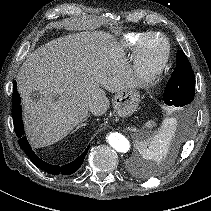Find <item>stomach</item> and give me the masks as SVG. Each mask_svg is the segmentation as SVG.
<instances>
[{
    "instance_id": "obj_1",
    "label": "stomach",
    "mask_w": 211,
    "mask_h": 211,
    "mask_svg": "<svg viewBox=\"0 0 211 211\" xmlns=\"http://www.w3.org/2000/svg\"><path fill=\"white\" fill-rule=\"evenodd\" d=\"M140 94L134 88L117 92L113 100L115 113L120 117L132 114L138 107Z\"/></svg>"
}]
</instances>
